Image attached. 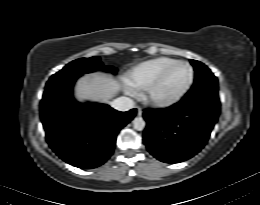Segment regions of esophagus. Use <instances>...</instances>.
Returning a JSON list of instances; mask_svg holds the SVG:
<instances>
[{"instance_id":"34e87169","label":"esophagus","mask_w":260,"mask_h":205,"mask_svg":"<svg viewBox=\"0 0 260 205\" xmlns=\"http://www.w3.org/2000/svg\"><path fill=\"white\" fill-rule=\"evenodd\" d=\"M142 109L140 107H137V115L142 116Z\"/></svg>"}]
</instances>
